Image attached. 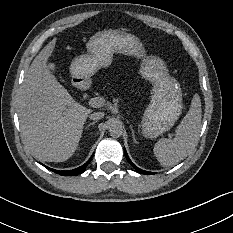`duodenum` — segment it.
Here are the masks:
<instances>
[{
	"label": "duodenum",
	"instance_id": "1",
	"mask_svg": "<svg viewBox=\"0 0 233 233\" xmlns=\"http://www.w3.org/2000/svg\"><path fill=\"white\" fill-rule=\"evenodd\" d=\"M74 83L80 91H86L90 87V81L85 77H77L74 79Z\"/></svg>",
	"mask_w": 233,
	"mask_h": 233
}]
</instances>
